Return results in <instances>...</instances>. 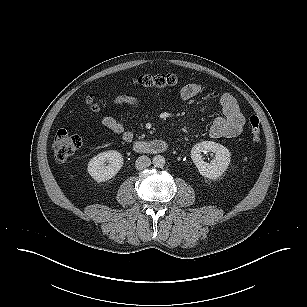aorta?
I'll return each mask as SVG.
<instances>
[{
	"instance_id": "1",
	"label": "aorta",
	"mask_w": 307,
	"mask_h": 307,
	"mask_svg": "<svg viewBox=\"0 0 307 307\" xmlns=\"http://www.w3.org/2000/svg\"><path fill=\"white\" fill-rule=\"evenodd\" d=\"M153 165L157 168H162L165 163H166V160L164 158V156L162 155H156L154 158H153Z\"/></svg>"
}]
</instances>
